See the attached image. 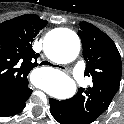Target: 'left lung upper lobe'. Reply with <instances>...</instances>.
I'll list each match as a JSON object with an SVG mask.
<instances>
[{"label":"left lung upper lobe","mask_w":124,"mask_h":124,"mask_svg":"<svg viewBox=\"0 0 124 124\" xmlns=\"http://www.w3.org/2000/svg\"><path fill=\"white\" fill-rule=\"evenodd\" d=\"M78 31L87 62L84 75L91 77L93 86L68 99L77 124H90L110 105L119 89L122 67L119 51L112 39L88 23H80Z\"/></svg>","instance_id":"left-lung-upper-lobe-1"}]
</instances>
